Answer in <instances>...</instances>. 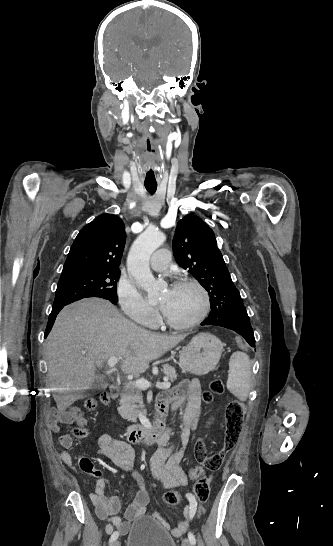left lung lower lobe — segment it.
<instances>
[{"label":"left lung lower lobe","instance_id":"left-lung-lower-lobe-1","mask_svg":"<svg viewBox=\"0 0 333 546\" xmlns=\"http://www.w3.org/2000/svg\"><path fill=\"white\" fill-rule=\"evenodd\" d=\"M202 325H217L231 329L243 336L244 339L250 344V346H255L253 329L250 323V318L246 311L237 313L232 319L229 320L208 317L202 323Z\"/></svg>","mask_w":333,"mask_h":546}]
</instances>
